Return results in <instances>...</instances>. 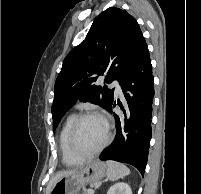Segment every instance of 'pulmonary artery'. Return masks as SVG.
<instances>
[{
	"label": "pulmonary artery",
	"mask_w": 201,
	"mask_h": 194,
	"mask_svg": "<svg viewBox=\"0 0 201 194\" xmlns=\"http://www.w3.org/2000/svg\"><path fill=\"white\" fill-rule=\"evenodd\" d=\"M112 87H114L116 93H118V94L122 93V88H121V86H120L118 81H116V80L113 81L112 82Z\"/></svg>",
	"instance_id": "e3ab8cb5"
}]
</instances>
